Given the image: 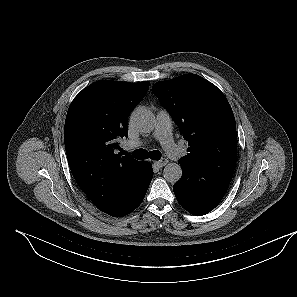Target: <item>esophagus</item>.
<instances>
[{"label":"esophagus","mask_w":297,"mask_h":297,"mask_svg":"<svg viewBox=\"0 0 297 297\" xmlns=\"http://www.w3.org/2000/svg\"><path fill=\"white\" fill-rule=\"evenodd\" d=\"M168 163V160L166 158H162L160 159L159 161H156L155 164L158 166V167H163L165 166L166 164Z\"/></svg>","instance_id":"1"}]
</instances>
